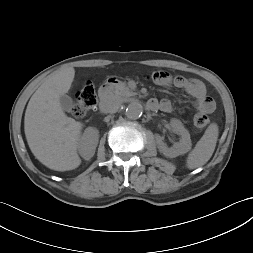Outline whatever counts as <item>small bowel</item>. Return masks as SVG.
Here are the masks:
<instances>
[{
  "mask_svg": "<svg viewBox=\"0 0 253 253\" xmlns=\"http://www.w3.org/2000/svg\"><path fill=\"white\" fill-rule=\"evenodd\" d=\"M152 80L160 86H174L185 90L194 99V108L201 113H212L215 109V102L207 96L205 85L197 79H188L182 76L172 77L164 71H156L151 74ZM156 103V108L163 112L172 110L171 101L164 98L160 101L152 99Z\"/></svg>",
  "mask_w": 253,
  "mask_h": 253,
  "instance_id": "1",
  "label": "small bowel"
}]
</instances>
